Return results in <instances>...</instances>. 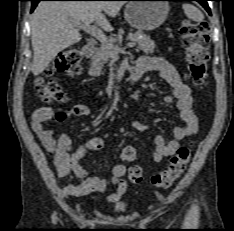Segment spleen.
<instances>
[{
    "mask_svg": "<svg viewBox=\"0 0 234 231\" xmlns=\"http://www.w3.org/2000/svg\"><path fill=\"white\" fill-rule=\"evenodd\" d=\"M182 7H183L185 15L189 19H192V20H194L196 22H202L203 21L204 15L194 5H192L190 3H184Z\"/></svg>",
    "mask_w": 234,
    "mask_h": 231,
    "instance_id": "obj_1",
    "label": "spleen"
}]
</instances>
